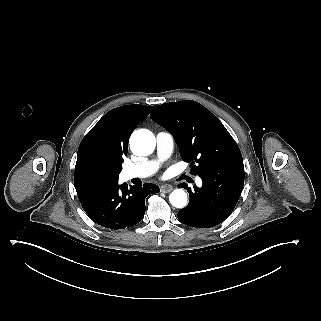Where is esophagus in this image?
Masks as SVG:
<instances>
[{
    "label": "esophagus",
    "mask_w": 321,
    "mask_h": 321,
    "mask_svg": "<svg viewBox=\"0 0 321 321\" xmlns=\"http://www.w3.org/2000/svg\"><path fill=\"white\" fill-rule=\"evenodd\" d=\"M172 189H173L172 185H170V184H165V185H162V186H161L160 191H161L162 193H169V192L172 191Z\"/></svg>",
    "instance_id": "1"
}]
</instances>
